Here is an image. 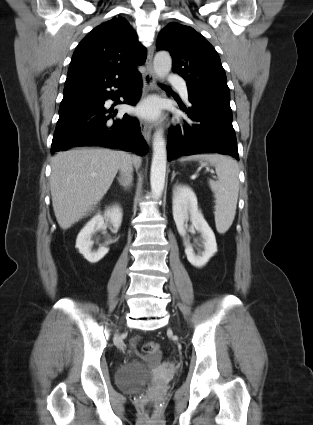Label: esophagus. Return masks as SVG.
Wrapping results in <instances>:
<instances>
[{
  "instance_id": "obj_1",
  "label": "esophagus",
  "mask_w": 313,
  "mask_h": 425,
  "mask_svg": "<svg viewBox=\"0 0 313 425\" xmlns=\"http://www.w3.org/2000/svg\"><path fill=\"white\" fill-rule=\"evenodd\" d=\"M152 60H153V47H150L148 51V56L145 62L146 70L143 74V85H144V90L146 92L156 89V78H155ZM140 127H141V132L143 137L148 143H150L152 126L149 123L142 120L140 122Z\"/></svg>"
}]
</instances>
